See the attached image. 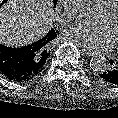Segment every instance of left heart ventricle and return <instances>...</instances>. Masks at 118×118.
I'll list each match as a JSON object with an SVG mask.
<instances>
[{
	"label": "left heart ventricle",
	"mask_w": 118,
	"mask_h": 118,
	"mask_svg": "<svg viewBox=\"0 0 118 118\" xmlns=\"http://www.w3.org/2000/svg\"><path fill=\"white\" fill-rule=\"evenodd\" d=\"M95 22L98 25H102L106 28L112 38L113 44L118 42V12L109 18L100 14L95 19Z\"/></svg>",
	"instance_id": "b2bd125f"
}]
</instances>
